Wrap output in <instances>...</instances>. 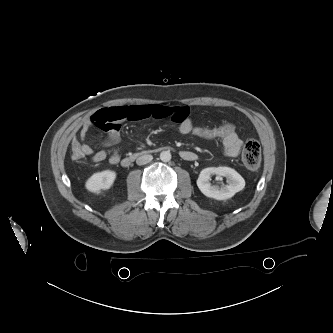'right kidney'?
Returning a JSON list of instances; mask_svg holds the SVG:
<instances>
[{
	"instance_id": "ca27d5eb",
	"label": "right kidney",
	"mask_w": 333,
	"mask_h": 333,
	"mask_svg": "<svg viewBox=\"0 0 333 333\" xmlns=\"http://www.w3.org/2000/svg\"><path fill=\"white\" fill-rule=\"evenodd\" d=\"M116 179V173L112 170H104L94 173L86 181V189L90 192H98L100 190L109 189Z\"/></svg>"
}]
</instances>
